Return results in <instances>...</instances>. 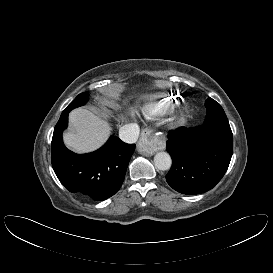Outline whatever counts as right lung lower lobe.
Masks as SVG:
<instances>
[{
  "mask_svg": "<svg viewBox=\"0 0 273 273\" xmlns=\"http://www.w3.org/2000/svg\"><path fill=\"white\" fill-rule=\"evenodd\" d=\"M68 113L61 114L54 128L51 143L53 170L70 192L90 196L95 201L105 200L120 189L135 144H126L111 136L99 150L75 154L62 140V132L68 125Z\"/></svg>",
  "mask_w": 273,
  "mask_h": 273,
  "instance_id": "1",
  "label": "right lung lower lobe"
}]
</instances>
